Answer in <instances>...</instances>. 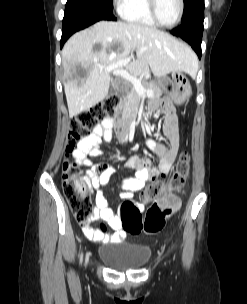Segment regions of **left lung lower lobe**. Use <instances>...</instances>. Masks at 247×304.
I'll return each instance as SVG.
<instances>
[{
	"label": "left lung lower lobe",
	"mask_w": 247,
	"mask_h": 304,
	"mask_svg": "<svg viewBox=\"0 0 247 304\" xmlns=\"http://www.w3.org/2000/svg\"><path fill=\"white\" fill-rule=\"evenodd\" d=\"M203 20H204V14L202 13L196 15L191 20L181 24V26L170 31L172 35L177 36L183 39L184 41L188 42L197 53L199 59L201 58Z\"/></svg>",
	"instance_id": "0a47b994"
}]
</instances>
